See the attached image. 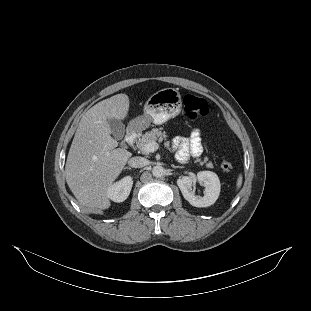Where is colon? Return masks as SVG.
<instances>
[{"instance_id": "1", "label": "colon", "mask_w": 311, "mask_h": 311, "mask_svg": "<svg viewBox=\"0 0 311 311\" xmlns=\"http://www.w3.org/2000/svg\"><path fill=\"white\" fill-rule=\"evenodd\" d=\"M183 106L185 115L190 119L204 117L209 111L207 102L203 98L192 94L184 96ZM220 166L223 171H230L232 169V163L226 158L221 160Z\"/></svg>"}]
</instances>
